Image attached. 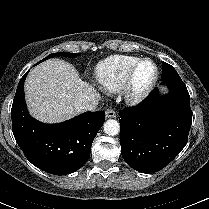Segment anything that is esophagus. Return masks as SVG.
I'll return each instance as SVG.
<instances>
[{
    "label": "esophagus",
    "mask_w": 209,
    "mask_h": 209,
    "mask_svg": "<svg viewBox=\"0 0 209 209\" xmlns=\"http://www.w3.org/2000/svg\"><path fill=\"white\" fill-rule=\"evenodd\" d=\"M105 117L106 118H115L116 112L112 108H109L105 111Z\"/></svg>",
    "instance_id": "34e87169"
}]
</instances>
